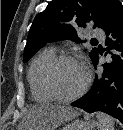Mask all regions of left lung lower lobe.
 I'll return each mask as SVG.
<instances>
[{
  "label": "left lung lower lobe",
  "mask_w": 123,
  "mask_h": 130,
  "mask_svg": "<svg viewBox=\"0 0 123 130\" xmlns=\"http://www.w3.org/2000/svg\"><path fill=\"white\" fill-rule=\"evenodd\" d=\"M106 35L105 50L111 54L112 60L103 64L104 70L102 74L96 75L91 89L72 106L89 113L102 111L123 123V8L115 23L106 31ZM98 60L97 53L92 59L94 67Z\"/></svg>",
  "instance_id": "left-lung-lower-lobe-1"
}]
</instances>
